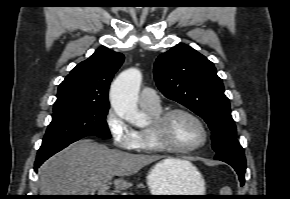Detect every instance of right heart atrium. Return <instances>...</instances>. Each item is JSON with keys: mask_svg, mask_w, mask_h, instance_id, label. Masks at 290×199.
<instances>
[{"mask_svg": "<svg viewBox=\"0 0 290 199\" xmlns=\"http://www.w3.org/2000/svg\"><path fill=\"white\" fill-rule=\"evenodd\" d=\"M106 125L113 139L114 146L122 150H134L136 147V130H134L114 109L106 115Z\"/></svg>", "mask_w": 290, "mask_h": 199, "instance_id": "1", "label": "right heart atrium"}]
</instances>
